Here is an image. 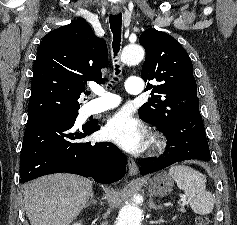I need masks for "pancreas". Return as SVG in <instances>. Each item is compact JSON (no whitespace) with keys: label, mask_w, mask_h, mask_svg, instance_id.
<instances>
[{"label":"pancreas","mask_w":237,"mask_h":225,"mask_svg":"<svg viewBox=\"0 0 237 225\" xmlns=\"http://www.w3.org/2000/svg\"><path fill=\"white\" fill-rule=\"evenodd\" d=\"M179 211H181V212H185V208L182 207L181 209H179Z\"/></svg>","instance_id":"pancreas-1"}]
</instances>
